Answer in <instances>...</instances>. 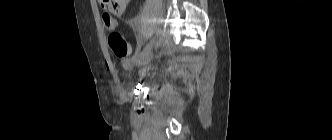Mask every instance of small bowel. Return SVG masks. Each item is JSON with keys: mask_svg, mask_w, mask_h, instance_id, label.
<instances>
[{"mask_svg": "<svg viewBox=\"0 0 332 140\" xmlns=\"http://www.w3.org/2000/svg\"><path fill=\"white\" fill-rule=\"evenodd\" d=\"M121 65L125 70H131L133 68V61L131 59H123L121 61ZM146 69L142 68L140 70V75L143 76L145 74Z\"/></svg>", "mask_w": 332, "mask_h": 140, "instance_id": "small-bowel-1", "label": "small bowel"}]
</instances>
